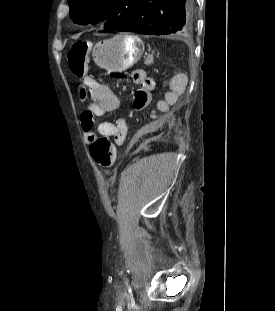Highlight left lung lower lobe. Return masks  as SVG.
<instances>
[{
    "instance_id": "left-lung-lower-lobe-1",
    "label": "left lung lower lobe",
    "mask_w": 275,
    "mask_h": 311,
    "mask_svg": "<svg viewBox=\"0 0 275 311\" xmlns=\"http://www.w3.org/2000/svg\"><path fill=\"white\" fill-rule=\"evenodd\" d=\"M194 0H141L135 15L116 31L145 35L184 34L193 27Z\"/></svg>"
}]
</instances>
